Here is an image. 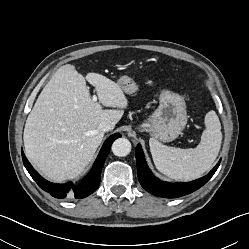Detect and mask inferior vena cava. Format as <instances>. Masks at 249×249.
<instances>
[{"mask_svg": "<svg viewBox=\"0 0 249 249\" xmlns=\"http://www.w3.org/2000/svg\"><path fill=\"white\" fill-rule=\"evenodd\" d=\"M98 129H99L100 131H102V132H107V131L112 130L113 127H112L109 123H107V122L104 121V122H101V123L99 124Z\"/></svg>", "mask_w": 249, "mask_h": 249, "instance_id": "obj_1", "label": "inferior vena cava"}]
</instances>
